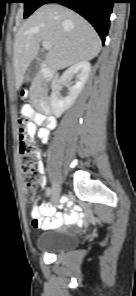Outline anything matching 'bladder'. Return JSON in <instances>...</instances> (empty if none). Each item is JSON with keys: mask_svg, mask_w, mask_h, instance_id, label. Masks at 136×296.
<instances>
[{"mask_svg": "<svg viewBox=\"0 0 136 296\" xmlns=\"http://www.w3.org/2000/svg\"><path fill=\"white\" fill-rule=\"evenodd\" d=\"M77 241L74 233L60 230L40 235L36 246L40 252L55 253L75 246Z\"/></svg>", "mask_w": 136, "mask_h": 296, "instance_id": "bladder-1", "label": "bladder"}]
</instances>
